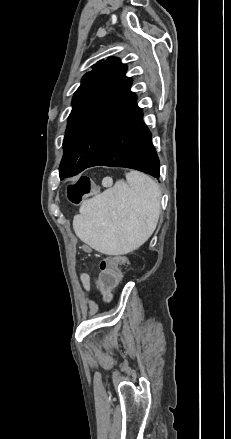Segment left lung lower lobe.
<instances>
[{"label": "left lung lower lobe", "instance_id": "1", "mask_svg": "<svg viewBox=\"0 0 231 439\" xmlns=\"http://www.w3.org/2000/svg\"><path fill=\"white\" fill-rule=\"evenodd\" d=\"M142 117V110L135 103L86 168L100 165L127 167L159 178V159Z\"/></svg>", "mask_w": 231, "mask_h": 439}]
</instances>
